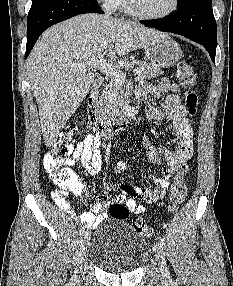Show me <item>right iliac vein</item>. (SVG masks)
Masks as SVG:
<instances>
[{
	"label": "right iliac vein",
	"mask_w": 233,
	"mask_h": 286,
	"mask_svg": "<svg viewBox=\"0 0 233 286\" xmlns=\"http://www.w3.org/2000/svg\"><path fill=\"white\" fill-rule=\"evenodd\" d=\"M89 233L88 232H84L81 236L80 239V250H79V259L82 261L84 256H85V252H86V248L89 244Z\"/></svg>",
	"instance_id": "1"
}]
</instances>
